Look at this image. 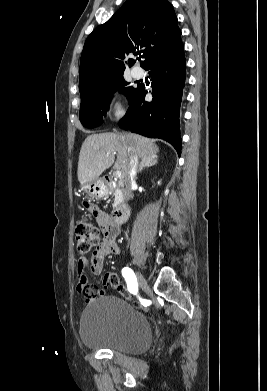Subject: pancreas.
<instances>
[{"label": "pancreas", "instance_id": "cf45deb5", "mask_svg": "<svg viewBox=\"0 0 267 391\" xmlns=\"http://www.w3.org/2000/svg\"><path fill=\"white\" fill-rule=\"evenodd\" d=\"M122 182H111L108 183L109 189L113 192L114 195V208H118L122 205L123 203V191L121 189Z\"/></svg>", "mask_w": 267, "mask_h": 391}]
</instances>
